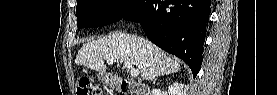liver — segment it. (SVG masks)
<instances>
[{
	"mask_svg": "<svg viewBox=\"0 0 277 95\" xmlns=\"http://www.w3.org/2000/svg\"><path fill=\"white\" fill-rule=\"evenodd\" d=\"M128 61L136 66L145 80L172 74L180 64L150 41L125 33H114L85 43L76 56L75 63L99 73H105L106 60Z\"/></svg>",
	"mask_w": 277,
	"mask_h": 95,
	"instance_id": "obj_1",
	"label": "liver"
}]
</instances>
